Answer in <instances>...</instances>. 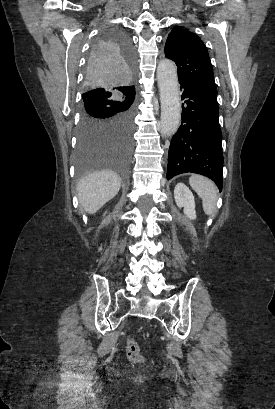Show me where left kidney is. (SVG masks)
I'll use <instances>...</instances> for the list:
<instances>
[{
	"label": "left kidney",
	"mask_w": 275,
	"mask_h": 409,
	"mask_svg": "<svg viewBox=\"0 0 275 409\" xmlns=\"http://www.w3.org/2000/svg\"><path fill=\"white\" fill-rule=\"evenodd\" d=\"M174 196L177 207H184V213L189 219H196L194 196L186 184L177 182L174 188Z\"/></svg>",
	"instance_id": "5707ae66"
}]
</instances>
